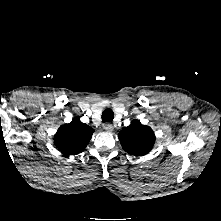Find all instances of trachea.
Masks as SVG:
<instances>
[{"label": "trachea", "instance_id": "obj_1", "mask_svg": "<svg viewBox=\"0 0 221 221\" xmlns=\"http://www.w3.org/2000/svg\"><path fill=\"white\" fill-rule=\"evenodd\" d=\"M113 119H114V112L110 108L105 109L102 113L103 122L106 121L112 122Z\"/></svg>", "mask_w": 221, "mask_h": 221}]
</instances>
